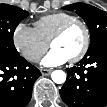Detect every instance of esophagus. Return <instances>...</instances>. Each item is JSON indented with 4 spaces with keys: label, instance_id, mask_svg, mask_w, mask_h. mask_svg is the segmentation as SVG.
I'll return each mask as SVG.
<instances>
[{
    "label": "esophagus",
    "instance_id": "1",
    "mask_svg": "<svg viewBox=\"0 0 107 107\" xmlns=\"http://www.w3.org/2000/svg\"><path fill=\"white\" fill-rule=\"evenodd\" d=\"M52 72V69H41V73L43 76H47Z\"/></svg>",
    "mask_w": 107,
    "mask_h": 107
}]
</instances>
